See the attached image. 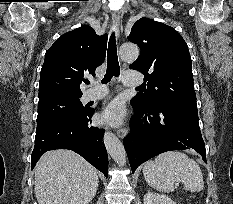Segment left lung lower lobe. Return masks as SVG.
Instances as JSON below:
<instances>
[{
    "mask_svg": "<svg viewBox=\"0 0 233 204\" xmlns=\"http://www.w3.org/2000/svg\"><path fill=\"white\" fill-rule=\"evenodd\" d=\"M131 105L135 114L124 148L133 173L145 161L171 150L194 149L207 163L196 103L159 100L148 106L132 101Z\"/></svg>",
    "mask_w": 233,
    "mask_h": 204,
    "instance_id": "obj_1",
    "label": "left lung lower lobe"
}]
</instances>
